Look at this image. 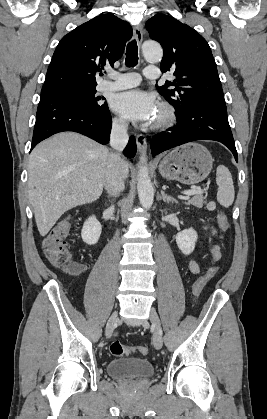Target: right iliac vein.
<instances>
[{"instance_id":"right-iliac-vein-1","label":"right iliac vein","mask_w":267,"mask_h":419,"mask_svg":"<svg viewBox=\"0 0 267 419\" xmlns=\"http://www.w3.org/2000/svg\"><path fill=\"white\" fill-rule=\"evenodd\" d=\"M117 322H118V313L114 312L110 316V318L108 319V322L106 324L105 335H106L107 338L111 337Z\"/></svg>"}]
</instances>
